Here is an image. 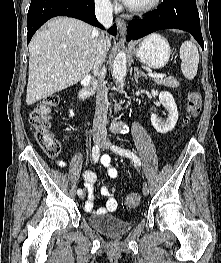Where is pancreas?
Returning a JSON list of instances; mask_svg holds the SVG:
<instances>
[{
	"instance_id": "pancreas-1",
	"label": "pancreas",
	"mask_w": 221,
	"mask_h": 263,
	"mask_svg": "<svg viewBox=\"0 0 221 263\" xmlns=\"http://www.w3.org/2000/svg\"><path fill=\"white\" fill-rule=\"evenodd\" d=\"M154 81L158 85H164V86H167V87L175 88V87L179 86L178 80L176 78H174V77H166L164 79L163 78L162 79L154 78Z\"/></svg>"
}]
</instances>
